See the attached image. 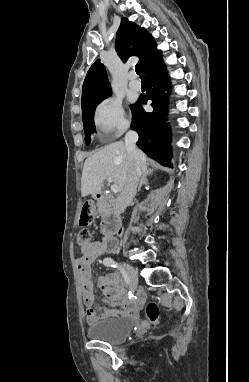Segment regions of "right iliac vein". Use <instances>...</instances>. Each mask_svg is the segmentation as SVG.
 <instances>
[{
	"label": "right iliac vein",
	"instance_id": "right-iliac-vein-1",
	"mask_svg": "<svg viewBox=\"0 0 249 382\" xmlns=\"http://www.w3.org/2000/svg\"><path fill=\"white\" fill-rule=\"evenodd\" d=\"M123 266L129 276L130 288L131 290H134L138 283V274L134 267L129 263L123 262Z\"/></svg>",
	"mask_w": 249,
	"mask_h": 382
}]
</instances>
